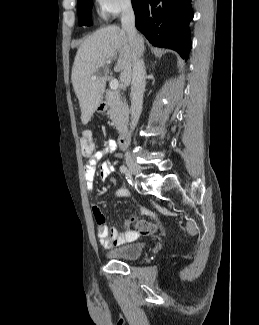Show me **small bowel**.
I'll list each match as a JSON object with an SVG mask.
<instances>
[{
    "label": "small bowel",
    "mask_w": 259,
    "mask_h": 325,
    "mask_svg": "<svg viewBox=\"0 0 259 325\" xmlns=\"http://www.w3.org/2000/svg\"><path fill=\"white\" fill-rule=\"evenodd\" d=\"M116 149L115 143H110L103 150L96 151L88 157L84 163V179L85 186L88 191L94 190V180L96 177V169L99 166V176L101 180L105 181L114 173V166L112 162L105 160L99 164L101 159ZM114 196L117 198H125L130 196V192L127 188H119L115 191ZM92 214L97 223V235L100 244L104 248H112L122 245L128 241H132L138 237V232L127 228L124 232H121L117 227H107L105 223V217L99 206L94 205L92 207Z\"/></svg>",
    "instance_id": "small-bowel-1"
}]
</instances>
